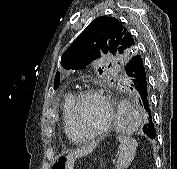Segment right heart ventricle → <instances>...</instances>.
<instances>
[{"instance_id": "1", "label": "right heart ventricle", "mask_w": 177, "mask_h": 169, "mask_svg": "<svg viewBox=\"0 0 177 169\" xmlns=\"http://www.w3.org/2000/svg\"><path fill=\"white\" fill-rule=\"evenodd\" d=\"M74 98L75 95L73 92H67L63 97V101L61 105L62 125H63V131L67 136V138L73 142H78L70 118V111H71V106L74 101Z\"/></svg>"}]
</instances>
